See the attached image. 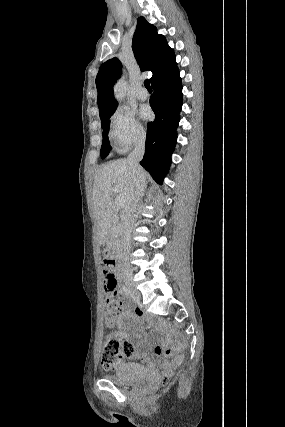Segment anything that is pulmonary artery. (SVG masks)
I'll return each instance as SVG.
<instances>
[{
    "mask_svg": "<svg viewBox=\"0 0 285 427\" xmlns=\"http://www.w3.org/2000/svg\"><path fill=\"white\" fill-rule=\"evenodd\" d=\"M136 96L139 100H146L148 98V92L144 88L137 90Z\"/></svg>",
    "mask_w": 285,
    "mask_h": 427,
    "instance_id": "obj_1",
    "label": "pulmonary artery"
}]
</instances>
